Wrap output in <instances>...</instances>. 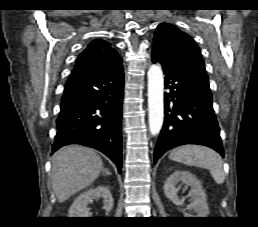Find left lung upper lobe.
<instances>
[{"label": "left lung upper lobe", "mask_w": 258, "mask_h": 227, "mask_svg": "<svg viewBox=\"0 0 258 227\" xmlns=\"http://www.w3.org/2000/svg\"><path fill=\"white\" fill-rule=\"evenodd\" d=\"M194 74L207 78L199 47L186 33L171 24H159L154 34L153 52Z\"/></svg>", "instance_id": "left-lung-upper-lobe-1"}]
</instances>
